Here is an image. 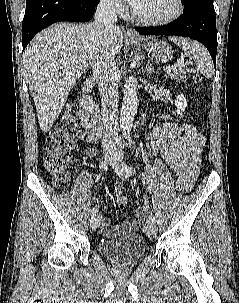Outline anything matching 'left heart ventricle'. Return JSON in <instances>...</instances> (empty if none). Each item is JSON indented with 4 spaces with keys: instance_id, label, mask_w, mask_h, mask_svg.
Segmentation results:
<instances>
[{
    "instance_id": "obj_1",
    "label": "left heart ventricle",
    "mask_w": 239,
    "mask_h": 303,
    "mask_svg": "<svg viewBox=\"0 0 239 303\" xmlns=\"http://www.w3.org/2000/svg\"><path fill=\"white\" fill-rule=\"evenodd\" d=\"M176 9L175 0H143L135 8L136 12L148 18H162L172 14Z\"/></svg>"
}]
</instances>
